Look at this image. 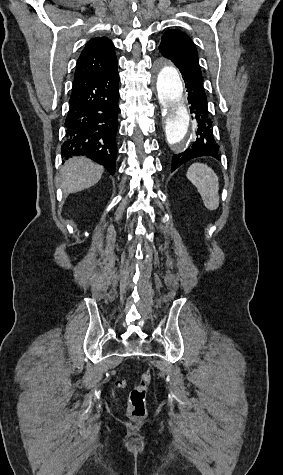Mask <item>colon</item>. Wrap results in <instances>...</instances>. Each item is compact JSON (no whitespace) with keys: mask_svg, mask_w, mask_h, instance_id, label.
I'll use <instances>...</instances> for the list:
<instances>
[{"mask_svg":"<svg viewBox=\"0 0 283 475\" xmlns=\"http://www.w3.org/2000/svg\"><path fill=\"white\" fill-rule=\"evenodd\" d=\"M152 380V371L145 370L130 389L128 399V412L134 419H142L147 414L146 395L147 388Z\"/></svg>","mask_w":283,"mask_h":475,"instance_id":"5ec220e1","label":"colon"}]
</instances>
